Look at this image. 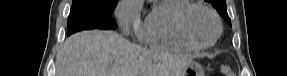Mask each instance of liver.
<instances>
[{
  "label": "liver",
  "instance_id": "6515ba94",
  "mask_svg": "<svg viewBox=\"0 0 287 76\" xmlns=\"http://www.w3.org/2000/svg\"><path fill=\"white\" fill-rule=\"evenodd\" d=\"M191 56L150 51L112 31H83L56 55V76H181Z\"/></svg>",
  "mask_w": 287,
  "mask_h": 76
}]
</instances>
